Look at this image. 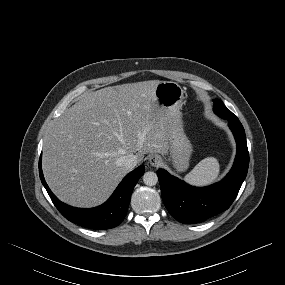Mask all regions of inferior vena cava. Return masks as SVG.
<instances>
[{
    "label": "inferior vena cava",
    "mask_w": 285,
    "mask_h": 285,
    "mask_svg": "<svg viewBox=\"0 0 285 285\" xmlns=\"http://www.w3.org/2000/svg\"><path fill=\"white\" fill-rule=\"evenodd\" d=\"M138 163V159L134 154H129L123 157V165L126 169L132 170Z\"/></svg>",
    "instance_id": "1"
}]
</instances>
